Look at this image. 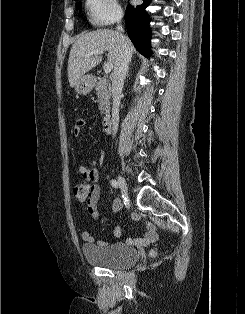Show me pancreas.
<instances>
[{
    "label": "pancreas",
    "mask_w": 245,
    "mask_h": 314,
    "mask_svg": "<svg viewBox=\"0 0 245 314\" xmlns=\"http://www.w3.org/2000/svg\"><path fill=\"white\" fill-rule=\"evenodd\" d=\"M95 91L99 99V110L101 114L105 112L110 107V85L105 78H99V81L95 85Z\"/></svg>",
    "instance_id": "cf45deb5"
}]
</instances>
